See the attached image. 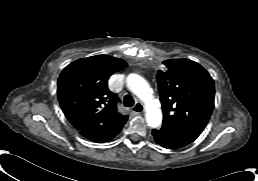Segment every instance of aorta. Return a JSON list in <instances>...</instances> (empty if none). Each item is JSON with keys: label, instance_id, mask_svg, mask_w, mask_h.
<instances>
[{"label": "aorta", "instance_id": "762f6f07", "mask_svg": "<svg viewBox=\"0 0 258 181\" xmlns=\"http://www.w3.org/2000/svg\"><path fill=\"white\" fill-rule=\"evenodd\" d=\"M128 89L145 104V118L148 126L158 128L162 123V111L155 103L153 92L147 81L138 74H129L126 79Z\"/></svg>", "mask_w": 258, "mask_h": 181}]
</instances>
